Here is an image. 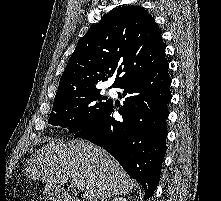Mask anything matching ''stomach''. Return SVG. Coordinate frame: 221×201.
<instances>
[{"label": "stomach", "instance_id": "stomach-1", "mask_svg": "<svg viewBox=\"0 0 221 201\" xmlns=\"http://www.w3.org/2000/svg\"><path fill=\"white\" fill-rule=\"evenodd\" d=\"M51 188H52V187H50V186H46V188H45L46 193H47L50 197H52V198L57 197V196H56V193L53 192V190H51Z\"/></svg>", "mask_w": 221, "mask_h": 201}]
</instances>
